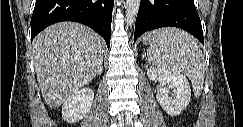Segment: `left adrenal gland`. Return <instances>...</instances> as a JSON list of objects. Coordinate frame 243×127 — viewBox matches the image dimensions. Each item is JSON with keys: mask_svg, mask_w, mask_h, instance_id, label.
<instances>
[{"mask_svg": "<svg viewBox=\"0 0 243 127\" xmlns=\"http://www.w3.org/2000/svg\"><path fill=\"white\" fill-rule=\"evenodd\" d=\"M142 58H145V59H146V54H145V53H143V56H142Z\"/></svg>", "mask_w": 243, "mask_h": 127, "instance_id": "a2214340", "label": "left adrenal gland"}]
</instances>
